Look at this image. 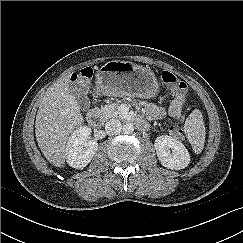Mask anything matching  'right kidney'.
<instances>
[{
    "label": "right kidney",
    "mask_w": 243,
    "mask_h": 243,
    "mask_svg": "<svg viewBox=\"0 0 243 243\" xmlns=\"http://www.w3.org/2000/svg\"><path fill=\"white\" fill-rule=\"evenodd\" d=\"M90 134L89 127L79 126L70 135L65 149L66 161L69 166L83 169L90 163L98 150V143L89 139Z\"/></svg>",
    "instance_id": "ca27d5eb"
}]
</instances>
